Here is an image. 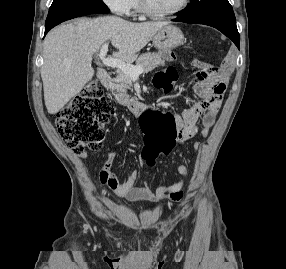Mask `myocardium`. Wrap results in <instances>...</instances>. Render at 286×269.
<instances>
[{"mask_svg":"<svg viewBox=\"0 0 286 269\" xmlns=\"http://www.w3.org/2000/svg\"><path fill=\"white\" fill-rule=\"evenodd\" d=\"M140 12L151 19H166L173 17L180 12H182L189 4V0H182L181 4L173 9L172 11L165 12V13H157L150 9L148 6L147 0H137Z\"/></svg>","mask_w":286,"mask_h":269,"instance_id":"f54148a6","label":"myocardium"}]
</instances>
